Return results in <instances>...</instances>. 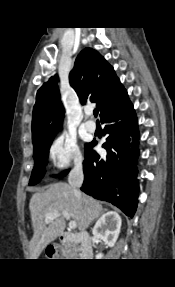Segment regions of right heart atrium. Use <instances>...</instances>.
Here are the masks:
<instances>
[{"mask_svg": "<svg viewBox=\"0 0 175 287\" xmlns=\"http://www.w3.org/2000/svg\"><path fill=\"white\" fill-rule=\"evenodd\" d=\"M48 158L52 166L63 170L71 165L81 166L82 156L76 140L68 134H60L55 137L49 148Z\"/></svg>", "mask_w": 175, "mask_h": 287, "instance_id": "right-heart-atrium-1", "label": "right heart atrium"}]
</instances>
